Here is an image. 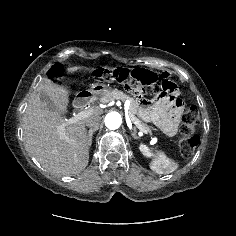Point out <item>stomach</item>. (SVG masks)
<instances>
[{
    "label": "stomach",
    "mask_w": 236,
    "mask_h": 236,
    "mask_svg": "<svg viewBox=\"0 0 236 236\" xmlns=\"http://www.w3.org/2000/svg\"><path fill=\"white\" fill-rule=\"evenodd\" d=\"M110 91H111V88L108 85L100 84V83L92 84L90 90H87V92L89 93V96H93V97L95 96L104 97ZM77 96L88 97L87 94L83 92H79Z\"/></svg>",
    "instance_id": "1"
}]
</instances>
